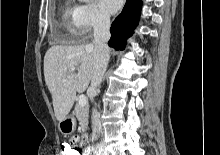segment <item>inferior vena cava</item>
Returning <instances> with one entry per match:
<instances>
[{"mask_svg":"<svg viewBox=\"0 0 220 155\" xmlns=\"http://www.w3.org/2000/svg\"><path fill=\"white\" fill-rule=\"evenodd\" d=\"M110 16L101 13L94 26V40H93V72L91 77V85L88 88V95L93 101L97 94V87L100 86L103 76L105 74L107 64L109 61V48L107 42L110 38ZM92 130L93 137L102 133V125L99 120V114L96 109L92 111Z\"/></svg>","mask_w":220,"mask_h":155,"instance_id":"inferior-vena-cava-1","label":"inferior vena cava"}]
</instances>
